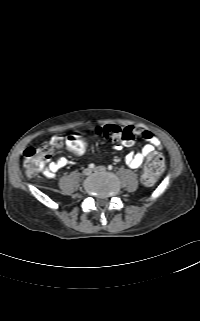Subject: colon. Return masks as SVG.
<instances>
[{"instance_id": "5ec220e1", "label": "colon", "mask_w": 200, "mask_h": 321, "mask_svg": "<svg viewBox=\"0 0 200 321\" xmlns=\"http://www.w3.org/2000/svg\"><path fill=\"white\" fill-rule=\"evenodd\" d=\"M89 132V131H87ZM96 135H101L113 143H120L131 146L135 142L136 131L130 126L104 125L93 129ZM67 148L73 154L80 155L85 152L86 146L83 140V133H72L67 137ZM53 147L44 144L40 147H28L24 151V167L28 174L32 175L40 170L51 157ZM164 168L163 157L159 153L149 155L142 173V182L151 186L158 180Z\"/></svg>"}]
</instances>
